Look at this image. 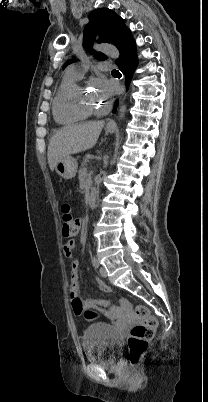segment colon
Listing matches in <instances>:
<instances>
[{"mask_svg":"<svg viewBox=\"0 0 208 402\" xmlns=\"http://www.w3.org/2000/svg\"><path fill=\"white\" fill-rule=\"evenodd\" d=\"M62 214V235L64 238H67L69 235L75 234L78 220L72 216L71 205L68 202L62 205ZM71 305L73 307V312L78 315L85 316L88 319L96 317L95 311L85 307L79 296H74L72 298ZM136 313L142 318L141 324H130L128 327L130 332L128 339L130 350L129 361L132 364H136L144 355L148 342L153 338L156 332V327H159L160 324L159 318H149V310L145 307L137 308Z\"/></svg>","mask_w":208,"mask_h":402,"instance_id":"1","label":"colon"}]
</instances>
